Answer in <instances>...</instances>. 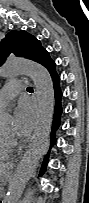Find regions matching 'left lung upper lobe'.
Instances as JSON below:
<instances>
[{"label": "left lung upper lobe", "instance_id": "left-lung-upper-lobe-1", "mask_svg": "<svg viewBox=\"0 0 89 203\" xmlns=\"http://www.w3.org/2000/svg\"><path fill=\"white\" fill-rule=\"evenodd\" d=\"M44 48L40 41L26 31H11L0 42V66L13 52L18 57H25L38 62Z\"/></svg>", "mask_w": 89, "mask_h": 203}]
</instances>
